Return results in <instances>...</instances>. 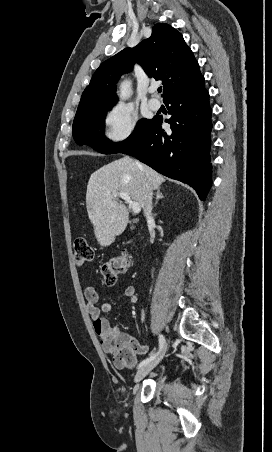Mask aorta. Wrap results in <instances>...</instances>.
Wrapping results in <instances>:
<instances>
[{"instance_id": "obj_1", "label": "aorta", "mask_w": 272, "mask_h": 452, "mask_svg": "<svg viewBox=\"0 0 272 452\" xmlns=\"http://www.w3.org/2000/svg\"><path fill=\"white\" fill-rule=\"evenodd\" d=\"M130 95H131L130 82L126 80L120 85L119 97L121 100H126L130 97Z\"/></svg>"}]
</instances>
